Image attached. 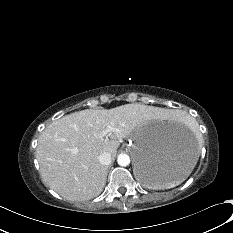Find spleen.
<instances>
[{"label": "spleen", "mask_w": 233, "mask_h": 233, "mask_svg": "<svg viewBox=\"0 0 233 233\" xmlns=\"http://www.w3.org/2000/svg\"><path fill=\"white\" fill-rule=\"evenodd\" d=\"M178 119H179L180 121H185V122L191 123V119H190V118H185V119H184V117L179 116V117H178ZM177 184H178V183H177ZM177 184H169V185L162 186V187H158V188H168V187H173V186H175V185H177Z\"/></svg>", "instance_id": "spleen-1"}]
</instances>
